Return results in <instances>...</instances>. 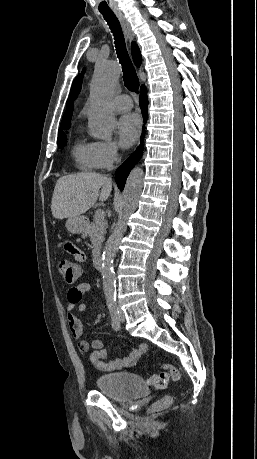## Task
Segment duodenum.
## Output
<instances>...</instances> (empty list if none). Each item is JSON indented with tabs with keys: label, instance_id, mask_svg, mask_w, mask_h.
Returning <instances> with one entry per match:
<instances>
[{
	"label": "duodenum",
	"instance_id": "1",
	"mask_svg": "<svg viewBox=\"0 0 257 459\" xmlns=\"http://www.w3.org/2000/svg\"><path fill=\"white\" fill-rule=\"evenodd\" d=\"M102 257L101 255L97 254L94 256V265L96 269H100L102 267Z\"/></svg>",
	"mask_w": 257,
	"mask_h": 459
}]
</instances>
